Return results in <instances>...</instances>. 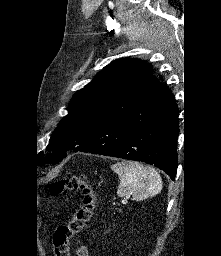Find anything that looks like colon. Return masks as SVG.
I'll use <instances>...</instances> for the list:
<instances>
[{
	"mask_svg": "<svg viewBox=\"0 0 221 256\" xmlns=\"http://www.w3.org/2000/svg\"><path fill=\"white\" fill-rule=\"evenodd\" d=\"M49 191L52 196L70 191L79 192L82 196V204L70 224L60 227L53 237L56 256H70L69 240L82 232L89 223L96 206V193L86 177L76 175L65 176L53 182Z\"/></svg>",
	"mask_w": 221,
	"mask_h": 256,
	"instance_id": "obj_1",
	"label": "colon"
}]
</instances>
